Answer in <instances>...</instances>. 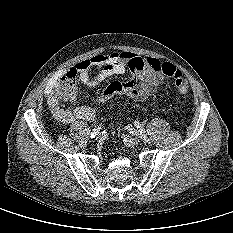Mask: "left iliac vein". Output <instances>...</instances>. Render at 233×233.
I'll return each instance as SVG.
<instances>
[{
    "mask_svg": "<svg viewBox=\"0 0 233 233\" xmlns=\"http://www.w3.org/2000/svg\"><path fill=\"white\" fill-rule=\"evenodd\" d=\"M133 137L134 138L131 139V137L129 135H127V134L122 135V138L124 139L125 142H131L133 140L136 143L140 141L141 135H140V133L138 131L135 130L134 133H133Z\"/></svg>",
    "mask_w": 233,
    "mask_h": 233,
    "instance_id": "4c4485c4",
    "label": "left iliac vein"
}]
</instances>
